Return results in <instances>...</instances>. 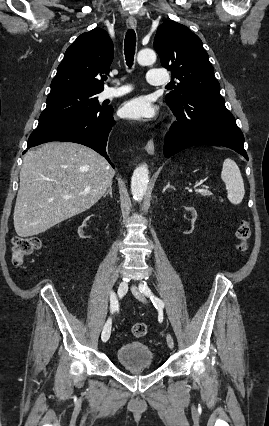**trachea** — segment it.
<instances>
[{"label":"trachea","mask_w":269,"mask_h":426,"mask_svg":"<svg viewBox=\"0 0 269 426\" xmlns=\"http://www.w3.org/2000/svg\"><path fill=\"white\" fill-rule=\"evenodd\" d=\"M136 34L133 29H129L124 41V54L128 67H132L135 55ZM107 78H105L106 80Z\"/></svg>","instance_id":"trachea-1"}]
</instances>
